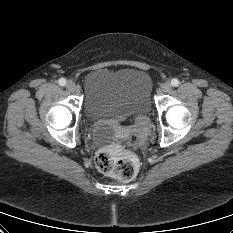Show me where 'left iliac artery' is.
Listing matches in <instances>:
<instances>
[{"label":"left iliac artery","mask_w":233,"mask_h":233,"mask_svg":"<svg viewBox=\"0 0 233 233\" xmlns=\"http://www.w3.org/2000/svg\"><path fill=\"white\" fill-rule=\"evenodd\" d=\"M179 83H180L179 80L176 78L171 80V85L174 87H177L179 85Z\"/></svg>","instance_id":"left-iliac-artery-1"}]
</instances>
